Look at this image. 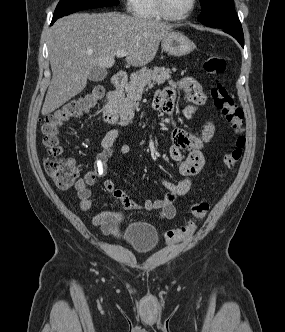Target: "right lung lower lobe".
Segmentation results:
<instances>
[{
  "label": "right lung lower lobe",
  "mask_w": 285,
  "mask_h": 332,
  "mask_svg": "<svg viewBox=\"0 0 285 332\" xmlns=\"http://www.w3.org/2000/svg\"><path fill=\"white\" fill-rule=\"evenodd\" d=\"M57 19H58L57 17H53L52 22H51V25H52Z\"/></svg>",
  "instance_id": "98d812e1"
}]
</instances>
